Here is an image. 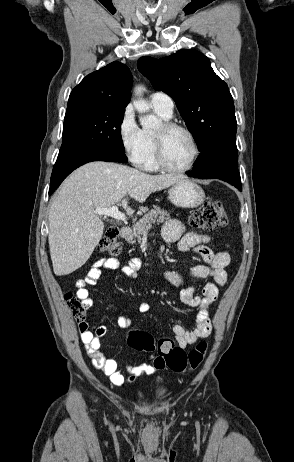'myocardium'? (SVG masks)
Returning <instances> with one entry per match:
<instances>
[{
	"mask_svg": "<svg viewBox=\"0 0 294 462\" xmlns=\"http://www.w3.org/2000/svg\"><path fill=\"white\" fill-rule=\"evenodd\" d=\"M176 130L183 131L188 135V137L190 138L192 142L193 149H194L190 162L186 166L178 167V168L172 167L171 165H169L165 157L166 137L169 133L176 131ZM154 144H155V158H156V163L158 167L161 170L169 172V173H184V172L191 170L195 166L200 156V153H201L200 145H199L198 139L196 135L194 134V132L189 127L183 124H180V123L172 122V121H164L161 124L160 128L156 132H154Z\"/></svg>",
	"mask_w": 294,
	"mask_h": 462,
	"instance_id": "f54148a6",
	"label": "myocardium"
}]
</instances>
